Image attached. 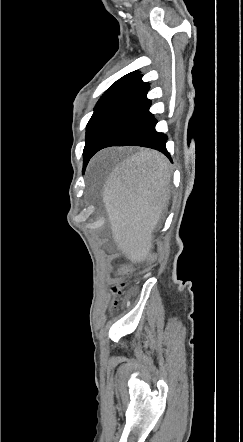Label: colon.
Instances as JSON below:
<instances>
[{
    "mask_svg": "<svg viewBox=\"0 0 243 442\" xmlns=\"http://www.w3.org/2000/svg\"><path fill=\"white\" fill-rule=\"evenodd\" d=\"M157 260V255L149 254L139 261H130V263L121 262L119 263L118 267H113L111 269V272L116 277L110 287L111 297L114 299L112 303L113 307H115L117 304V299H121L123 297V292L125 289V280H123V278L130 279L133 275L141 274L142 270H153V263L157 262Z\"/></svg>",
    "mask_w": 243,
    "mask_h": 442,
    "instance_id": "5ec220e1",
    "label": "colon"
}]
</instances>
